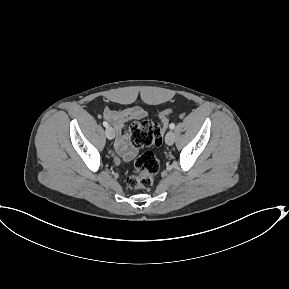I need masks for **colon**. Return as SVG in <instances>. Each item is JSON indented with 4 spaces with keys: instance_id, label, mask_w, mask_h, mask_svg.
<instances>
[{
    "instance_id": "colon-1",
    "label": "colon",
    "mask_w": 289,
    "mask_h": 289,
    "mask_svg": "<svg viewBox=\"0 0 289 289\" xmlns=\"http://www.w3.org/2000/svg\"><path fill=\"white\" fill-rule=\"evenodd\" d=\"M170 109L161 112L160 120L166 125L171 114ZM131 140L136 147L160 146L163 140L162 126L153 120L135 122L130 128ZM135 174L126 178L127 186L132 190L149 189L159 171V161L152 151L141 154L134 163Z\"/></svg>"
}]
</instances>
